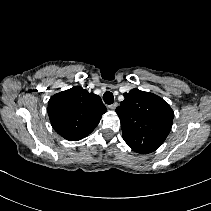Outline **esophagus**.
I'll list each match as a JSON object with an SVG mask.
<instances>
[{"label":"esophagus","mask_w":211,"mask_h":211,"mask_svg":"<svg viewBox=\"0 0 211 211\" xmlns=\"http://www.w3.org/2000/svg\"><path fill=\"white\" fill-rule=\"evenodd\" d=\"M118 106L117 102H114L113 104L109 105L108 107L112 110H114Z\"/></svg>","instance_id":"obj_1"}]
</instances>
